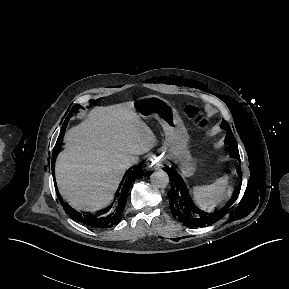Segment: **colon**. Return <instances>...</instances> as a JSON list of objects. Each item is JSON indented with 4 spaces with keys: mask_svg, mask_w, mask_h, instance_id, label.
I'll return each instance as SVG.
<instances>
[{
    "mask_svg": "<svg viewBox=\"0 0 289 289\" xmlns=\"http://www.w3.org/2000/svg\"><path fill=\"white\" fill-rule=\"evenodd\" d=\"M186 110L191 116H196L198 114V108L192 104H188Z\"/></svg>",
    "mask_w": 289,
    "mask_h": 289,
    "instance_id": "colon-1",
    "label": "colon"
}]
</instances>
